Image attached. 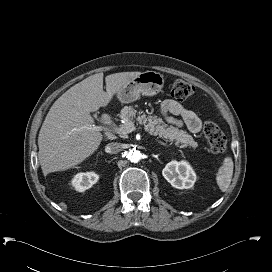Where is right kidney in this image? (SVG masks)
<instances>
[{"mask_svg":"<svg viewBox=\"0 0 272 272\" xmlns=\"http://www.w3.org/2000/svg\"><path fill=\"white\" fill-rule=\"evenodd\" d=\"M99 179V176L95 172H80L74 175L72 178V185L79 192H83L91 188Z\"/></svg>","mask_w":272,"mask_h":272,"instance_id":"1","label":"right kidney"}]
</instances>
